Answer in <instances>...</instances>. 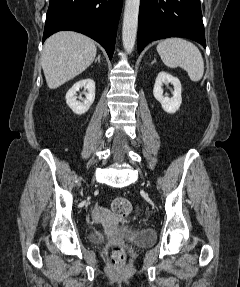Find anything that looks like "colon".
<instances>
[{
	"mask_svg": "<svg viewBox=\"0 0 240 287\" xmlns=\"http://www.w3.org/2000/svg\"><path fill=\"white\" fill-rule=\"evenodd\" d=\"M111 209L115 216L122 218L128 216L131 213L132 204L128 199L124 197H117L112 201ZM125 257V252L121 247L115 246L112 248L111 262L114 265L118 266L123 264Z\"/></svg>",
	"mask_w": 240,
	"mask_h": 287,
	"instance_id": "1",
	"label": "colon"
}]
</instances>
